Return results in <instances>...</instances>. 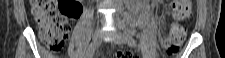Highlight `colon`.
Segmentation results:
<instances>
[{"mask_svg": "<svg viewBox=\"0 0 225 58\" xmlns=\"http://www.w3.org/2000/svg\"><path fill=\"white\" fill-rule=\"evenodd\" d=\"M172 16L175 20L188 18L192 11L191 0H174ZM82 12L79 1L73 0H34L32 14L34 15L40 40L51 50L59 51L63 48L69 34L68 17L78 18ZM185 30L178 23L171 26L170 32L161 39V45L167 56L179 52L184 42ZM115 58H135L130 50H121Z\"/></svg>", "mask_w": 225, "mask_h": 58, "instance_id": "5ec220e1", "label": "colon"}]
</instances>
